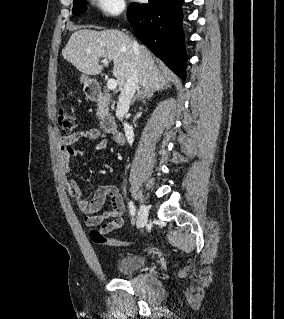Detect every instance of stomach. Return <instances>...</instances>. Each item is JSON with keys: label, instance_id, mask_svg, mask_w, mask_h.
<instances>
[{"label": "stomach", "instance_id": "stomach-1", "mask_svg": "<svg viewBox=\"0 0 284 319\" xmlns=\"http://www.w3.org/2000/svg\"><path fill=\"white\" fill-rule=\"evenodd\" d=\"M80 81L83 83V85H84V87H83V90L85 91V92H87L88 91V89H89V87L91 86V84H93V80L92 79H90L88 76H86V75H82L81 77H80Z\"/></svg>", "mask_w": 284, "mask_h": 319}]
</instances>
